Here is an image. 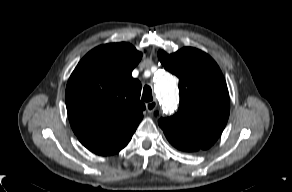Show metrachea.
<instances>
[{
	"label": "trachea",
	"instance_id": "3493384b",
	"mask_svg": "<svg viewBox=\"0 0 292 192\" xmlns=\"http://www.w3.org/2000/svg\"><path fill=\"white\" fill-rule=\"evenodd\" d=\"M152 90L150 86H145L143 89V95H142V100L145 102H150L152 101Z\"/></svg>",
	"mask_w": 292,
	"mask_h": 192
}]
</instances>
